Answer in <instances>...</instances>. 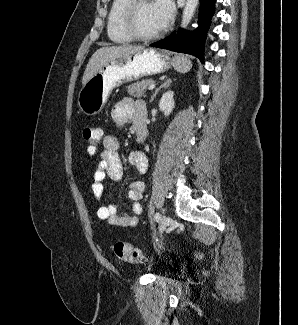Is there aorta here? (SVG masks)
Returning <instances> with one entry per match:
<instances>
[{
  "instance_id": "762f6f07",
  "label": "aorta",
  "mask_w": 298,
  "mask_h": 325,
  "mask_svg": "<svg viewBox=\"0 0 298 325\" xmlns=\"http://www.w3.org/2000/svg\"><path fill=\"white\" fill-rule=\"evenodd\" d=\"M198 2L199 0H186L181 16L180 28H182V30L187 28L191 18H193Z\"/></svg>"
}]
</instances>
